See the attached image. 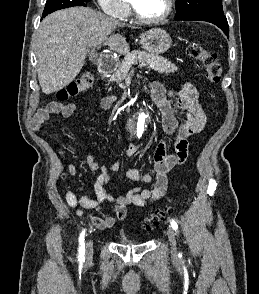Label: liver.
<instances>
[{
  "label": "liver",
  "instance_id": "6515ba94",
  "mask_svg": "<svg viewBox=\"0 0 259 294\" xmlns=\"http://www.w3.org/2000/svg\"><path fill=\"white\" fill-rule=\"evenodd\" d=\"M124 26L97 10L84 7L56 11L43 19L35 36L42 92L50 94L69 85L80 73L90 47L104 43L114 52L129 53L125 37L112 34Z\"/></svg>",
  "mask_w": 259,
  "mask_h": 294
}]
</instances>
